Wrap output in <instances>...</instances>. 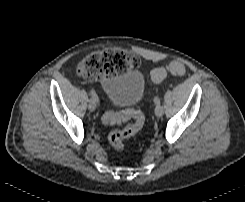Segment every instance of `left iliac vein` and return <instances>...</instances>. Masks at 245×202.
Instances as JSON below:
<instances>
[{
	"instance_id": "4c4485c4",
	"label": "left iliac vein",
	"mask_w": 245,
	"mask_h": 202,
	"mask_svg": "<svg viewBox=\"0 0 245 202\" xmlns=\"http://www.w3.org/2000/svg\"><path fill=\"white\" fill-rule=\"evenodd\" d=\"M163 113H164V108H163V106L157 105L156 108H155V115H156L157 117H161V116L163 115Z\"/></svg>"
}]
</instances>
